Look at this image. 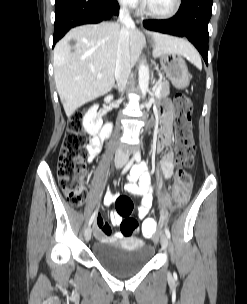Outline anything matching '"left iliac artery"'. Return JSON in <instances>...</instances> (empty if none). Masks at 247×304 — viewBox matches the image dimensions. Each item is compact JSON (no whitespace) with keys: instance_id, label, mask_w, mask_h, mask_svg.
I'll list each match as a JSON object with an SVG mask.
<instances>
[{"instance_id":"44dca946","label":"left iliac artery","mask_w":247,"mask_h":304,"mask_svg":"<svg viewBox=\"0 0 247 304\" xmlns=\"http://www.w3.org/2000/svg\"><path fill=\"white\" fill-rule=\"evenodd\" d=\"M135 159H136L137 163H139L141 160L140 156H137ZM165 234L170 239L171 235H170V231L168 228H165Z\"/></svg>"}]
</instances>
